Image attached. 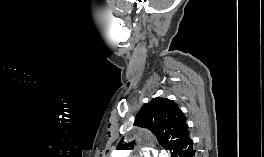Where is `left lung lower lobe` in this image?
Returning <instances> with one entry per match:
<instances>
[{
    "label": "left lung lower lobe",
    "mask_w": 264,
    "mask_h": 157,
    "mask_svg": "<svg viewBox=\"0 0 264 157\" xmlns=\"http://www.w3.org/2000/svg\"><path fill=\"white\" fill-rule=\"evenodd\" d=\"M172 157H197L196 150L193 148V141L189 138L182 143Z\"/></svg>",
    "instance_id": "left-lung-lower-lobe-1"
}]
</instances>
